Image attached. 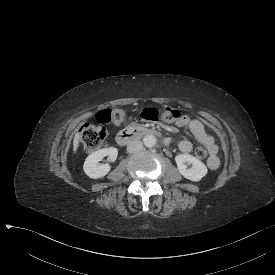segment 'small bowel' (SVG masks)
<instances>
[{
  "mask_svg": "<svg viewBox=\"0 0 275 275\" xmlns=\"http://www.w3.org/2000/svg\"><path fill=\"white\" fill-rule=\"evenodd\" d=\"M177 127L189 130L194 138L209 150L210 157L207 161V166L211 170H216L220 165L219 158L217 157V145L215 144L214 138L206 132L201 121L195 118L187 117L182 119L177 124ZM176 129L177 128L173 126L169 128L170 131H175ZM169 144H171V142H169ZM177 147L182 153L185 154L190 153L193 149V145L189 140L179 141L177 143Z\"/></svg>",
  "mask_w": 275,
  "mask_h": 275,
  "instance_id": "obj_1",
  "label": "small bowel"
}]
</instances>
